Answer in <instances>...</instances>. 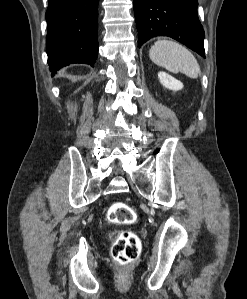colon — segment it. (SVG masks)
Instances as JSON below:
<instances>
[{"label": "colon", "mask_w": 247, "mask_h": 299, "mask_svg": "<svg viewBox=\"0 0 247 299\" xmlns=\"http://www.w3.org/2000/svg\"><path fill=\"white\" fill-rule=\"evenodd\" d=\"M135 210L124 202L113 203L107 211V220L114 225H129L136 221ZM112 257L121 265L133 263L140 254L141 242L136 233L119 230L111 234Z\"/></svg>", "instance_id": "5ec220e1"}]
</instances>
